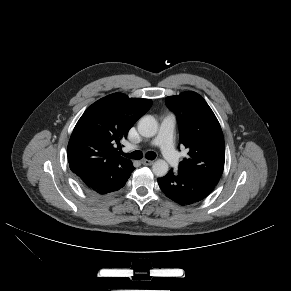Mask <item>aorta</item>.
I'll use <instances>...</instances> for the list:
<instances>
[{
  "mask_svg": "<svg viewBox=\"0 0 291 291\" xmlns=\"http://www.w3.org/2000/svg\"><path fill=\"white\" fill-rule=\"evenodd\" d=\"M158 123L151 115L142 117L138 122V132L143 137H153L157 133ZM168 163L165 160L158 159L152 166L153 173L158 177H163L168 172Z\"/></svg>",
  "mask_w": 291,
  "mask_h": 291,
  "instance_id": "762f6f07",
  "label": "aorta"
}]
</instances>
